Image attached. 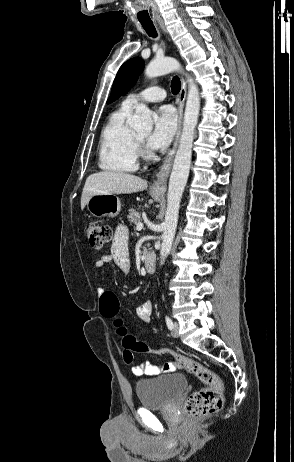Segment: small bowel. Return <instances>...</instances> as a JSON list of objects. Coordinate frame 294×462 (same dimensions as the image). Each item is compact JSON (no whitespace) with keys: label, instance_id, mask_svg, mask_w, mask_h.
<instances>
[{"label":"small bowel","instance_id":"obj_1","mask_svg":"<svg viewBox=\"0 0 294 462\" xmlns=\"http://www.w3.org/2000/svg\"><path fill=\"white\" fill-rule=\"evenodd\" d=\"M113 262L124 273L128 274L131 269V262L128 253V232L124 226L117 228L109 254L103 255L94 264L96 270H102L107 263ZM106 291L104 288H99L100 296ZM154 304L151 300H147L135 309L137 317L144 323H150ZM177 366L172 361H167L164 364L156 365L150 362L141 364H133L131 367L132 373L136 376H156L161 373H170L176 371Z\"/></svg>","mask_w":294,"mask_h":462}]
</instances>
